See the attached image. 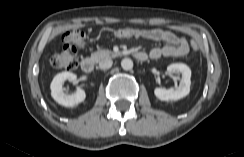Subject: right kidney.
I'll list each match as a JSON object with an SVG mask.
<instances>
[{
	"label": "right kidney",
	"instance_id": "ca27d5eb",
	"mask_svg": "<svg viewBox=\"0 0 244 157\" xmlns=\"http://www.w3.org/2000/svg\"><path fill=\"white\" fill-rule=\"evenodd\" d=\"M76 79V75L72 72H62L53 78L50 85L51 96L58 104L65 107H74L84 102L86 98L84 90L78 88L74 94H66L63 90V83L66 80L75 82Z\"/></svg>",
	"mask_w": 244,
	"mask_h": 157
}]
</instances>
